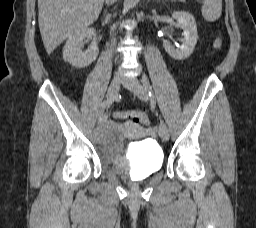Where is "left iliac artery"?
Returning a JSON list of instances; mask_svg holds the SVG:
<instances>
[{"label":"left iliac artery","mask_w":256,"mask_h":228,"mask_svg":"<svg viewBox=\"0 0 256 228\" xmlns=\"http://www.w3.org/2000/svg\"><path fill=\"white\" fill-rule=\"evenodd\" d=\"M142 83H143V86L145 87V89L148 91L149 96L151 98H154L152 86L150 85V82L145 74L142 76Z\"/></svg>","instance_id":"obj_1"}]
</instances>
